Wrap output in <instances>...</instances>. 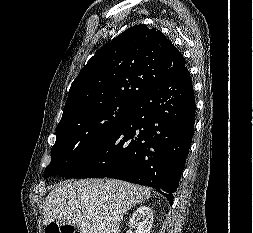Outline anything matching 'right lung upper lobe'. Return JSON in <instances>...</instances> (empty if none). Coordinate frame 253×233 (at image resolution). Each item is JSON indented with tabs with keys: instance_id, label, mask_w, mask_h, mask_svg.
Segmentation results:
<instances>
[{
	"instance_id": "cb5924a9",
	"label": "right lung upper lobe",
	"mask_w": 253,
	"mask_h": 233,
	"mask_svg": "<svg viewBox=\"0 0 253 233\" xmlns=\"http://www.w3.org/2000/svg\"><path fill=\"white\" fill-rule=\"evenodd\" d=\"M186 64L163 33L135 25L99 50L73 81L63 116L101 101H135L149 87Z\"/></svg>"
}]
</instances>
